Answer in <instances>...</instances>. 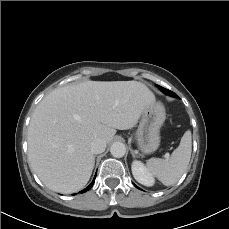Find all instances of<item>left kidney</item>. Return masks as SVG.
<instances>
[{
	"mask_svg": "<svg viewBox=\"0 0 229 229\" xmlns=\"http://www.w3.org/2000/svg\"><path fill=\"white\" fill-rule=\"evenodd\" d=\"M132 174L137 182L144 186H153L154 177L141 161H134L131 166Z\"/></svg>",
	"mask_w": 229,
	"mask_h": 229,
	"instance_id": "left-kidney-1",
	"label": "left kidney"
}]
</instances>
